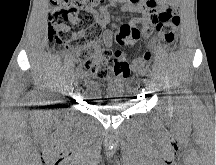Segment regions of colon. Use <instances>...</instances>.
<instances>
[{"mask_svg":"<svg viewBox=\"0 0 216 165\" xmlns=\"http://www.w3.org/2000/svg\"><path fill=\"white\" fill-rule=\"evenodd\" d=\"M52 9L49 14L50 38L58 45L72 43L79 35L77 43L80 49L76 59L87 71L104 79L113 71L116 74L131 71L142 72L148 67L151 55L143 56L128 63L119 49L111 51L106 48L97 50L101 43L102 26L96 21L93 11L106 0H50ZM180 17L172 10H165L154 16L155 30L165 47L172 49L177 40L176 30L180 25ZM140 36L139 31L128 24H122L116 32L118 46L129 44Z\"/></svg>","mask_w":216,"mask_h":165,"instance_id":"obj_1","label":"colon"}]
</instances>
